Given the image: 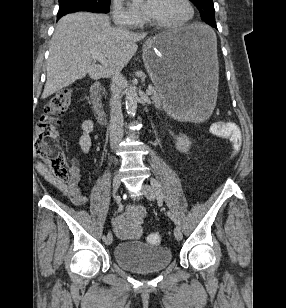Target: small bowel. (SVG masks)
<instances>
[{
	"label": "small bowel",
	"instance_id": "c3829d8e",
	"mask_svg": "<svg viewBox=\"0 0 286 308\" xmlns=\"http://www.w3.org/2000/svg\"><path fill=\"white\" fill-rule=\"evenodd\" d=\"M229 124L231 132L228 138L231 140H241L240 130L233 124ZM79 136V146L83 153L87 154L92 147L91 133L94 131V122L91 119H86L81 123ZM71 170L73 172L71 179L68 183H60L55 181L47 169L40 165L38 168L39 173L47 180L51 181L63 195L75 206H81L85 204L86 197L82 191L80 185V167L77 163L71 164ZM144 211L141 207L135 205H129L125 212L116 215L112 219V227L116 236L122 240L137 239L141 233V224L143 220Z\"/></svg>",
	"mask_w": 286,
	"mask_h": 308
}]
</instances>
